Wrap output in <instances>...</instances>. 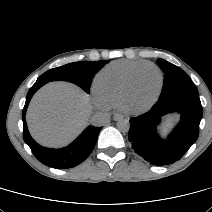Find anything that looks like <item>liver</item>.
<instances>
[{"label":"liver","instance_id":"liver-1","mask_svg":"<svg viewBox=\"0 0 212 212\" xmlns=\"http://www.w3.org/2000/svg\"><path fill=\"white\" fill-rule=\"evenodd\" d=\"M91 107L87 95L67 82H52L32 98L27 122L40 144L60 147L71 142L88 124Z\"/></svg>","mask_w":212,"mask_h":212}]
</instances>
